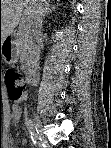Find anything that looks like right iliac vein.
Wrapping results in <instances>:
<instances>
[{"label": "right iliac vein", "mask_w": 111, "mask_h": 148, "mask_svg": "<svg viewBox=\"0 0 111 148\" xmlns=\"http://www.w3.org/2000/svg\"><path fill=\"white\" fill-rule=\"evenodd\" d=\"M34 121H35V125H36V129L38 130V133H39V138L41 141H44V137L41 133V121H40V118L38 115L34 114Z\"/></svg>", "instance_id": "63e3f726"}]
</instances>
